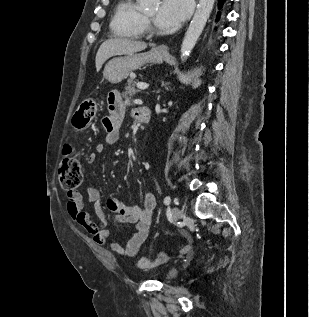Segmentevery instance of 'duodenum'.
I'll return each mask as SVG.
<instances>
[{
	"instance_id": "duodenum-1",
	"label": "duodenum",
	"mask_w": 309,
	"mask_h": 317,
	"mask_svg": "<svg viewBox=\"0 0 309 317\" xmlns=\"http://www.w3.org/2000/svg\"><path fill=\"white\" fill-rule=\"evenodd\" d=\"M150 119V110L148 107H139L138 108V120L141 123H147Z\"/></svg>"
}]
</instances>
